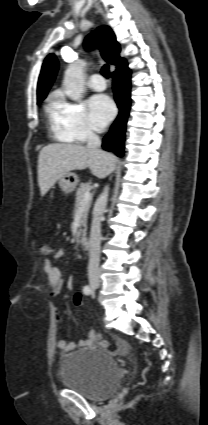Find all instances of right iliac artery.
Masks as SVG:
<instances>
[{"label":"right iliac artery","instance_id":"right-iliac-artery-1","mask_svg":"<svg viewBox=\"0 0 208 425\" xmlns=\"http://www.w3.org/2000/svg\"><path fill=\"white\" fill-rule=\"evenodd\" d=\"M83 292L85 295H90L92 293L91 288L88 285L84 286Z\"/></svg>","mask_w":208,"mask_h":425}]
</instances>
